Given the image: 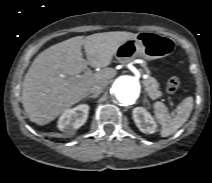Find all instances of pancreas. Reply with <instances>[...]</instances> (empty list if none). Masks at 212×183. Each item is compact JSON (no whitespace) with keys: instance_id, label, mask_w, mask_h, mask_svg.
I'll return each instance as SVG.
<instances>
[{"instance_id":"cf45deb5","label":"pancreas","mask_w":212,"mask_h":183,"mask_svg":"<svg viewBox=\"0 0 212 183\" xmlns=\"http://www.w3.org/2000/svg\"><path fill=\"white\" fill-rule=\"evenodd\" d=\"M146 73L149 74V70L146 68ZM143 85L145 87L146 92L148 93V96L152 99L155 100L159 98L162 93L161 91L158 90L159 84L153 77H148L147 79L143 80Z\"/></svg>"}]
</instances>
